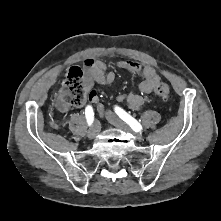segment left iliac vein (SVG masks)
<instances>
[{"instance_id": "1", "label": "left iliac vein", "mask_w": 221, "mask_h": 221, "mask_svg": "<svg viewBox=\"0 0 221 221\" xmlns=\"http://www.w3.org/2000/svg\"><path fill=\"white\" fill-rule=\"evenodd\" d=\"M106 118L107 120L114 126L123 129L125 131L132 132L136 139L142 140L143 136L141 133L133 132L132 129L128 124H126L124 121H122L120 118H118L114 113L111 111L106 112Z\"/></svg>"}]
</instances>
